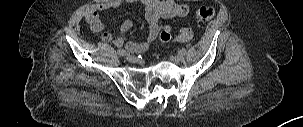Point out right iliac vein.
<instances>
[{
	"label": "right iliac vein",
	"instance_id": "1",
	"mask_svg": "<svg viewBox=\"0 0 303 127\" xmlns=\"http://www.w3.org/2000/svg\"><path fill=\"white\" fill-rule=\"evenodd\" d=\"M126 59H127V61H129L131 63H136L138 61V59L135 56H132V55H127Z\"/></svg>",
	"mask_w": 303,
	"mask_h": 127
}]
</instances>
